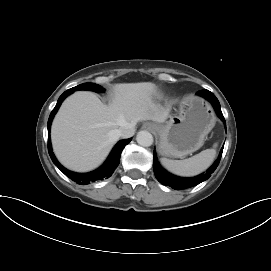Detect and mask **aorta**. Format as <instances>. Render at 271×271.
Returning a JSON list of instances; mask_svg holds the SVG:
<instances>
[{
    "mask_svg": "<svg viewBox=\"0 0 271 271\" xmlns=\"http://www.w3.org/2000/svg\"><path fill=\"white\" fill-rule=\"evenodd\" d=\"M136 141L139 145L149 147L153 144V136L148 131H139L136 136Z\"/></svg>",
    "mask_w": 271,
    "mask_h": 271,
    "instance_id": "762f6f07",
    "label": "aorta"
}]
</instances>
